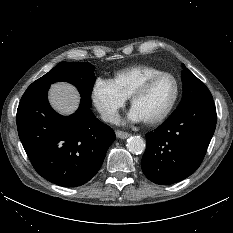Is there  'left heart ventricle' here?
Returning <instances> with one entry per match:
<instances>
[{"label": "left heart ventricle", "mask_w": 233, "mask_h": 233, "mask_svg": "<svg viewBox=\"0 0 233 233\" xmlns=\"http://www.w3.org/2000/svg\"><path fill=\"white\" fill-rule=\"evenodd\" d=\"M174 92V81L169 77L161 78L135 101L132 109L140 115L142 120L155 118L167 108Z\"/></svg>", "instance_id": "obj_1"}]
</instances>
